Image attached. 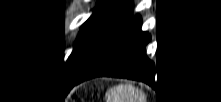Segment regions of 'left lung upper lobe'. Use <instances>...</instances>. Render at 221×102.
<instances>
[{"mask_svg": "<svg viewBox=\"0 0 221 102\" xmlns=\"http://www.w3.org/2000/svg\"><path fill=\"white\" fill-rule=\"evenodd\" d=\"M132 0H99L83 24L66 64V78L80 73L97 52L131 16Z\"/></svg>", "mask_w": 221, "mask_h": 102, "instance_id": "5c2ea615", "label": "left lung upper lobe"}]
</instances>
